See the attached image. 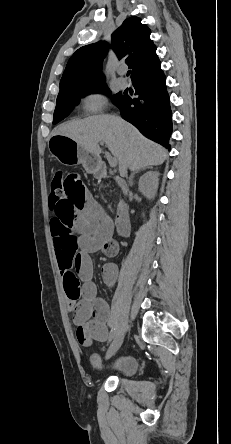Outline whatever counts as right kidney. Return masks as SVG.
I'll return each mask as SVG.
<instances>
[{"instance_id":"right-kidney-1","label":"right kidney","mask_w":231,"mask_h":444,"mask_svg":"<svg viewBox=\"0 0 231 444\" xmlns=\"http://www.w3.org/2000/svg\"><path fill=\"white\" fill-rule=\"evenodd\" d=\"M159 173L151 171L144 174L139 180V191L148 199H153L158 187Z\"/></svg>"}]
</instances>
